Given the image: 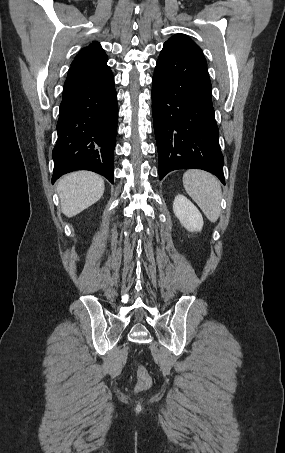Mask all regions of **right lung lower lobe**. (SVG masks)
Here are the masks:
<instances>
[{"instance_id": "1", "label": "right lung lower lobe", "mask_w": 285, "mask_h": 453, "mask_svg": "<svg viewBox=\"0 0 285 453\" xmlns=\"http://www.w3.org/2000/svg\"><path fill=\"white\" fill-rule=\"evenodd\" d=\"M117 93L106 66H71L63 88L52 152V183L75 170H90L113 183Z\"/></svg>"}]
</instances>
